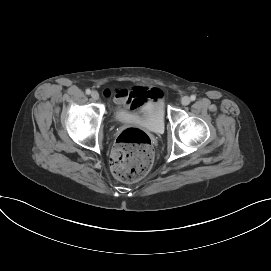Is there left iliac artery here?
Instances as JSON below:
<instances>
[{
	"mask_svg": "<svg viewBox=\"0 0 271 271\" xmlns=\"http://www.w3.org/2000/svg\"><path fill=\"white\" fill-rule=\"evenodd\" d=\"M190 99H191V101H194L196 99V96L195 95H191Z\"/></svg>",
	"mask_w": 271,
	"mask_h": 271,
	"instance_id": "left-iliac-artery-1",
	"label": "left iliac artery"
}]
</instances>
